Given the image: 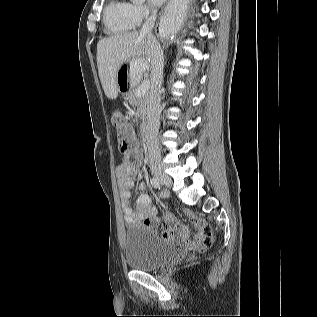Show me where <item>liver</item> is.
Returning a JSON list of instances; mask_svg holds the SVG:
<instances>
[{
    "instance_id": "6515ba94",
    "label": "liver",
    "mask_w": 317,
    "mask_h": 317,
    "mask_svg": "<svg viewBox=\"0 0 317 317\" xmlns=\"http://www.w3.org/2000/svg\"><path fill=\"white\" fill-rule=\"evenodd\" d=\"M152 52V43L139 32L118 34L98 42V73L107 98L116 99L118 96L117 73L120 67L133 59L142 71L149 70ZM140 63H145L146 66L141 67Z\"/></svg>"
}]
</instances>
